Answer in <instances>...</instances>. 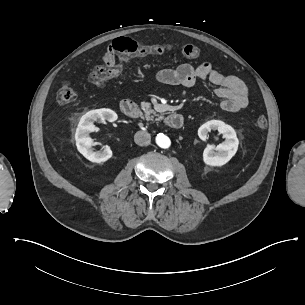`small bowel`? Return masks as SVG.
Listing matches in <instances>:
<instances>
[{"instance_id": "c3829d8e", "label": "small bowel", "mask_w": 305, "mask_h": 305, "mask_svg": "<svg viewBox=\"0 0 305 305\" xmlns=\"http://www.w3.org/2000/svg\"><path fill=\"white\" fill-rule=\"evenodd\" d=\"M102 52L103 63L109 65L115 63L113 44H104ZM155 80L165 85L184 87H191L198 80H207L217 86L215 95L221 99L220 107L223 110L237 112L248 105L249 90L246 84L238 77L222 74L209 62L197 66L181 64L176 68L161 69L155 74Z\"/></svg>"}]
</instances>
